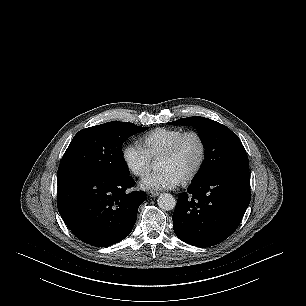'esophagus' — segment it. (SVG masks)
Instances as JSON below:
<instances>
[{
    "label": "esophagus",
    "instance_id": "34e87169",
    "mask_svg": "<svg viewBox=\"0 0 306 306\" xmlns=\"http://www.w3.org/2000/svg\"><path fill=\"white\" fill-rule=\"evenodd\" d=\"M159 194H160V193L157 192V191H148V192H147V195H148L149 197H157Z\"/></svg>",
    "mask_w": 306,
    "mask_h": 306
}]
</instances>
